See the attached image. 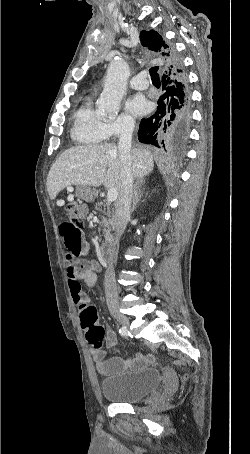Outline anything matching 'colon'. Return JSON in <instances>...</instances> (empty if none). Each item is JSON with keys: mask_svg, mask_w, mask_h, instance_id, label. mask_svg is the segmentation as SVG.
Listing matches in <instances>:
<instances>
[{"mask_svg": "<svg viewBox=\"0 0 250 454\" xmlns=\"http://www.w3.org/2000/svg\"><path fill=\"white\" fill-rule=\"evenodd\" d=\"M66 213L69 223L77 229H80L88 214V208L80 202H71L66 206ZM80 324L85 332L86 340L95 348L102 346L105 338V330L100 325V314L98 309L90 304L86 305L79 312Z\"/></svg>", "mask_w": 250, "mask_h": 454, "instance_id": "obj_1", "label": "colon"}]
</instances>
